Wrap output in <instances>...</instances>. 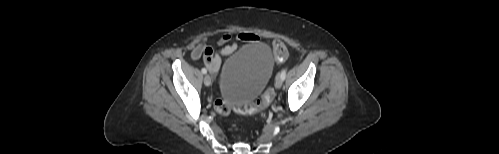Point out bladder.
<instances>
[{"mask_svg":"<svg viewBox=\"0 0 499 154\" xmlns=\"http://www.w3.org/2000/svg\"><path fill=\"white\" fill-rule=\"evenodd\" d=\"M274 57L264 42L248 44L233 52L223 63L218 87L229 104L254 101L272 77Z\"/></svg>","mask_w":499,"mask_h":154,"instance_id":"bladder-1","label":"bladder"}]
</instances>
